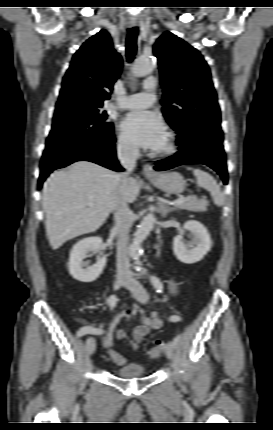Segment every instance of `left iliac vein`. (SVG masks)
<instances>
[{
    "mask_svg": "<svg viewBox=\"0 0 273 430\" xmlns=\"http://www.w3.org/2000/svg\"><path fill=\"white\" fill-rule=\"evenodd\" d=\"M125 287L131 291L133 296L140 303H146L149 298V294L147 290L143 287V285L137 281L136 279L130 278L128 279ZM165 354L168 359H172L174 355V346L172 342H169L165 346Z\"/></svg>",
    "mask_w": 273,
    "mask_h": 430,
    "instance_id": "1",
    "label": "left iliac vein"
}]
</instances>
